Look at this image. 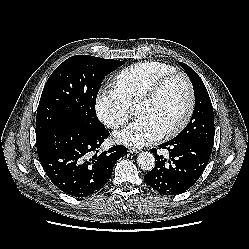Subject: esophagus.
I'll use <instances>...</instances> for the list:
<instances>
[{"label": "esophagus", "mask_w": 249, "mask_h": 249, "mask_svg": "<svg viewBox=\"0 0 249 249\" xmlns=\"http://www.w3.org/2000/svg\"><path fill=\"white\" fill-rule=\"evenodd\" d=\"M128 152L129 153H139V150L138 149H135V148H128Z\"/></svg>", "instance_id": "1"}]
</instances>
